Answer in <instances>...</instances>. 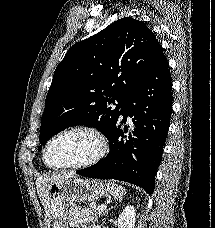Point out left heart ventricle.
<instances>
[{
	"mask_svg": "<svg viewBox=\"0 0 215 228\" xmlns=\"http://www.w3.org/2000/svg\"><path fill=\"white\" fill-rule=\"evenodd\" d=\"M96 149L94 138L85 132H71L54 140L46 153V161L52 167H60L83 161Z\"/></svg>",
	"mask_w": 215,
	"mask_h": 228,
	"instance_id": "left-heart-ventricle-1",
	"label": "left heart ventricle"
}]
</instances>
